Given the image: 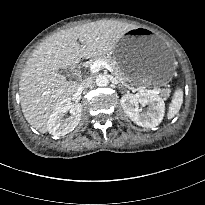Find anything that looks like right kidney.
<instances>
[{"label":"right kidney","instance_id":"right-kidney-1","mask_svg":"<svg viewBox=\"0 0 205 205\" xmlns=\"http://www.w3.org/2000/svg\"><path fill=\"white\" fill-rule=\"evenodd\" d=\"M82 106L80 103H72L69 98L56 105L49 116L47 130L54 136H64L74 130L81 119ZM70 112L71 116L65 117Z\"/></svg>","mask_w":205,"mask_h":205}]
</instances>
